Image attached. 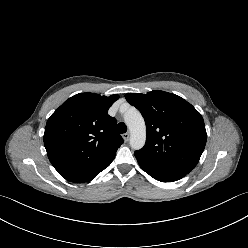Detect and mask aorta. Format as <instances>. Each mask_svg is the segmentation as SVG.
I'll list each match as a JSON object with an SVG mask.
<instances>
[{
    "label": "aorta",
    "instance_id": "1",
    "mask_svg": "<svg viewBox=\"0 0 248 248\" xmlns=\"http://www.w3.org/2000/svg\"><path fill=\"white\" fill-rule=\"evenodd\" d=\"M124 121L130 130L131 147L135 150L141 149L146 140V126L141 113L131 108L125 113Z\"/></svg>",
    "mask_w": 248,
    "mask_h": 248
}]
</instances>
